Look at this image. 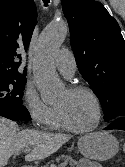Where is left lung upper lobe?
<instances>
[{
  "label": "left lung upper lobe",
  "instance_id": "left-lung-upper-lobe-1",
  "mask_svg": "<svg viewBox=\"0 0 125 167\" xmlns=\"http://www.w3.org/2000/svg\"><path fill=\"white\" fill-rule=\"evenodd\" d=\"M77 67L110 123L125 116V41L117 21L94 0H62Z\"/></svg>",
  "mask_w": 125,
  "mask_h": 167
}]
</instances>
